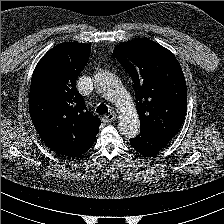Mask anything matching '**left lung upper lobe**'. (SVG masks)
I'll list each match as a JSON object with an SVG mask.
<instances>
[{
  "label": "left lung upper lobe",
  "instance_id": "1",
  "mask_svg": "<svg viewBox=\"0 0 224 224\" xmlns=\"http://www.w3.org/2000/svg\"><path fill=\"white\" fill-rule=\"evenodd\" d=\"M114 53L134 82L140 130L169 142L187 109V87L178 60L149 39L123 43Z\"/></svg>",
  "mask_w": 224,
  "mask_h": 224
}]
</instances>
